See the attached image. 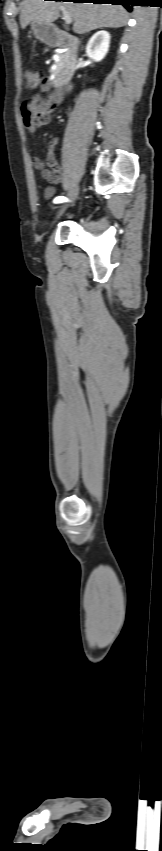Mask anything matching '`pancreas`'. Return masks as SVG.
<instances>
[{"label":"pancreas","mask_w":162,"mask_h":851,"mask_svg":"<svg viewBox=\"0 0 162 851\" xmlns=\"http://www.w3.org/2000/svg\"><path fill=\"white\" fill-rule=\"evenodd\" d=\"M69 55H70L69 52L58 53L57 57L55 59L56 68L54 70L50 69V72L57 75L61 71V69L66 65V63L68 62Z\"/></svg>","instance_id":"cf45deb5"}]
</instances>
